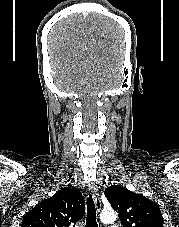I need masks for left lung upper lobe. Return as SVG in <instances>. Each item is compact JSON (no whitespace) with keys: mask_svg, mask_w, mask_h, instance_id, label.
Listing matches in <instances>:
<instances>
[{"mask_svg":"<svg viewBox=\"0 0 179 227\" xmlns=\"http://www.w3.org/2000/svg\"><path fill=\"white\" fill-rule=\"evenodd\" d=\"M104 194L118 211L123 227H163L158 205L145 196L118 185L108 187Z\"/></svg>","mask_w":179,"mask_h":227,"instance_id":"left-lung-upper-lobe-1","label":"left lung upper lobe"}]
</instances>
